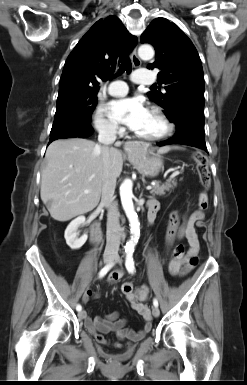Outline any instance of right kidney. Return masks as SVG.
<instances>
[{"label":"right kidney","mask_w":247,"mask_h":385,"mask_svg":"<svg viewBox=\"0 0 247 385\" xmlns=\"http://www.w3.org/2000/svg\"><path fill=\"white\" fill-rule=\"evenodd\" d=\"M85 224V217L84 216H79L67 226L65 230V240L67 245L72 249V250H78L80 249L84 243L86 242L88 236L84 234L80 238L77 237L78 235V228L81 225Z\"/></svg>","instance_id":"right-kidney-1"}]
</instances>
